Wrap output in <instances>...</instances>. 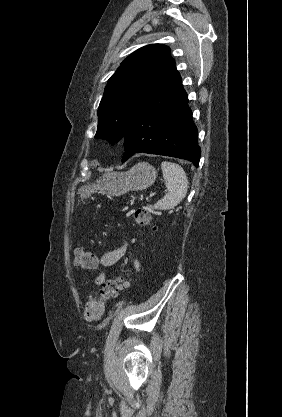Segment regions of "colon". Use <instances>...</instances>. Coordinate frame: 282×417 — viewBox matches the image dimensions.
Listing matches in <instances>:
<instances>
[{
  "label": "colon",
  "instance_id": "1",
  "mask_svg": "<svg viewBox=\"0 0 282 417\" xmlns=\"http://www.w3.org/2000/svg\"><path fill=\"white\" fill-rule=\"evenodd\" d=\"M131 221L142 226H152V217L150 213L142 209H135L128 214ZM75 265L79 268L92 270L96 267L95 256L81 248L75 250ZM129 285L127 276H118L112 279L101 281L100 289L95 296V303L101 310L109 299L117 296V294Z\"/></svg>",
  "mask_w": 282,
  "mask_h": 417
}]
</instances>
